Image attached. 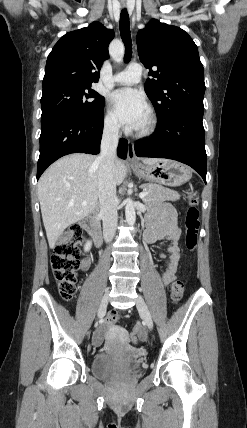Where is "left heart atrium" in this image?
Returning <instances> with one entry per match:
<instances>
[{"label":"left heart atrium","instance_id":"1","mask_svg":"<svg viewBox=\"0 0 247 428\" xmlns=\"http://www.w3.org/2000/svg\"><path fill=\"white\" fill-rule=\"evenodd\" d=\"M111 101L116 117L127 128L138 129L148 116L147 103L135 90H117Z\"/></svg>","mask_w":247,"mask_h":428}]
</instances>
